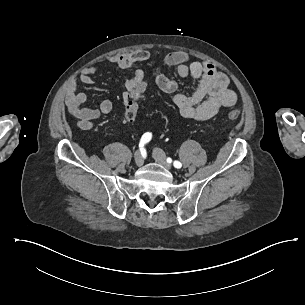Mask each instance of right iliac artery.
I'll list each match as a JSON object with an SVG mask.
<instances>
[{
	"label": "right iliac artery",
	"mask_w": 305,
	"mask_h": 305,
	"mask_svg": "<svg viewBox=\"0 0 305 305\" xmlns=\"http://www.w3.org/2000/svg\"><path fill=\"white\" fill-rule=\"evenodd\" d=\"M152 138V134L149 133V132H146L145 134H143L141 140H140V143H139V147H140V150L143 149L144 145L146 143H148Z\"/></svg>",
	"instance_id": "1"
}]
</instances>
